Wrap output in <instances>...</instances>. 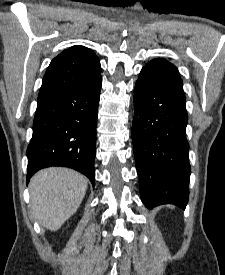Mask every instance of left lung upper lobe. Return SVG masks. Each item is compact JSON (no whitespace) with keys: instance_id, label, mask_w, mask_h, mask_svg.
Masks as SVG:
<instances>
[{"instance_id":"1","label":"left lung upper lobe","mask_w":225,"mask_h":275,"mask_svg":"<svg viewBox=\"0 0 225 275\" xmlns=\"http://www.w3.org/2000/svg\"><path fill=\"white\" fill-rule=\"evenodd\" d=\"M143 69L183 89V83L179 76L177 67L168 62L166 59H153L148 62L146 67Z\"/></svg>"}]
</instances>
